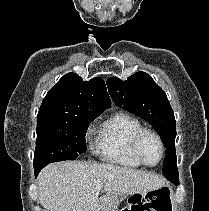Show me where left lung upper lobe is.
Segmentation results:
<instances>
[{"instance_id": "obj_1", "label": "left lung upper lobe", "mask_w": 209, "mask_h": 211, "mask_svg": "<svg viewBox=\"0 0 209 211\" xmlns=\"http://www.w3.org/2000/svg\"><path fill=\"white\" fill-rule=\"evenodd\" d=\"M112 100L117 106L149 122L160 135L166 154L163 174L176 175L175 138L176 122L174 112L165 92L145 72H137L123 81L117 77L107 80Z\"/></svg>"}]
</instances>
